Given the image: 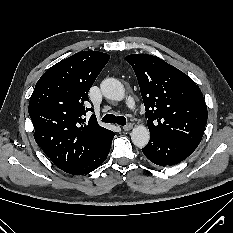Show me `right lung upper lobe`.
Here are the masks:
<instances>
[{
  "mask_svg": "<svg viewBox=\"0 0 233 233\" xmlns=\"http://www.w3.org/2000/svg\"><path fill=\"white\" fill-rule=\"evenodd\" d=\"M110 56L78 52L50 67L38 80L29 101L34 138L61 170L95 155L114 132L101 127L93 114L86 120L88 92Z\"/></svg>",
  "mask_w": 233,
  "mask_h": 233,
  "instance_id": "cb5924a9",
  "label": "right lung upper lobe"
}]
</instances>
